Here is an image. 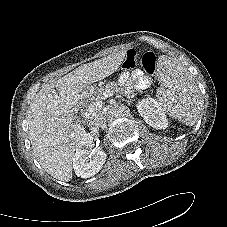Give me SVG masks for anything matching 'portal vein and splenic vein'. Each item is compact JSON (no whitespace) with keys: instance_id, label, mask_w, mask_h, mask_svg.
Returning <instances> with one entry per match:
<instances>
[{"instance_id":"1","label":"portal vein and splenic vein","mask_w":227,"mask_h":227,"mask_svg":"<svg viewBox=\"0 0 227 227\" xmlns=\"http://www.w3.org/2000/svg\"><path fill=\"white\" fill-rule=\"evenodd\" d=\"M111 95H112V93L110 91H107V92L103 93L104 98H107L108 96H111ZM101 107H102V100L100 99V100H97L95 103H93L88 108V110H87L88 113L87 114L90 115V114L96 112L97 110L101 109Z\"/></svg>"}]
</instances>
